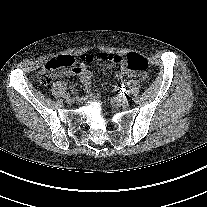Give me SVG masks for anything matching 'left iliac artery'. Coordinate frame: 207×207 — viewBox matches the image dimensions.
I'll list each match as a JSON object with an SVG mask.
<instances>
[{"label": "left iliac artery", "instance_id": "44dca946", "mask_svg": "<svg viewBox=\"0 0 207 207\" xmlns=\"http://www.w3.org/2000/svg\"><path fill=\"white\" fill-rule=\"evenodd\" d=\"M123 97H124L125 99H128V98L130 97V94H129L128 92H125V93L123 94Z\"/></svg>", "mask_w": 207, "mask_h": 207}]
</instances>
